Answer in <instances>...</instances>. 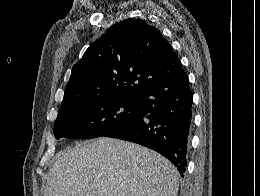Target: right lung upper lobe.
<instances>
[{
	"mask_svg": "<svg viewBox=\"0 0 260 196\" xmlns=\"http://www.w3.org/2000/svg\"><path fill=\"white\" fill-rule=\"evenodd\" d=\"M183 72L161 32L140 19L109 28L72 68L60 109L103 94L139 97Z\"/></svg>",
	"mask_w": 260,
	"mask_h": 196,
	"instance_id": "cb5924a9",
	"label": "right lung upper lobe"
}]
</instances>
